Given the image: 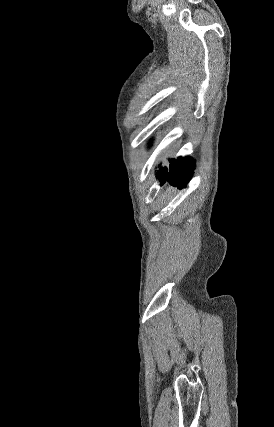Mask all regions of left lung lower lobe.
Listing matches in <instances>:
<instances>
[{"mask_svg": "<svg viewBox=\"0 0 274 427\" xmlns=\"http://www.w3.org/2000/svg\"><path fill=\"white\" fill-rule=\"evenodd\" d=\"M170 162L169 172H167L165 167L161 169L162 176L160 178V182L163 184L166 181H169L172 185L177 186L178 188H183L193 175V160L186 157L178 158L177 161L170 160Z\"/></svg>", "mask_w": 274, "mask_h": 427, "instance_id": "0a47b994", "label": "left lung lower lobe"}]
</instances>
